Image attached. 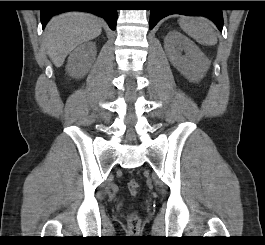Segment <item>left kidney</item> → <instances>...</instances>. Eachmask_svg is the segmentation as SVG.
<instances>
[{
  "label": "left kidney",
  "instance_id": "obj_1",
  "mask_svg": "<svg viewBox=\"0 0 265 245\" xmlns=\"http://www.w3.org/2000/svg\"><path fill=\"white\" fill-rule=\"evenodd\" d=\"M164 48L170 62L190 82H198L204 77L211 62L186 36L170 31L165 37ZM183 51L185 55H182Z\"/></svg>",
  "mask_w": 265,
  "mask_h": 245
}]
</instances>
